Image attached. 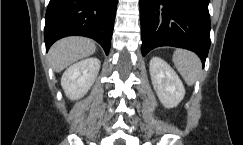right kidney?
Here are the masks:
<instances>
[{
    "instance_id": "1",
    "label": "right kidney",
    "mask_w": 243,
    "mask_h": 145,
    "mask_svg": "<svg viewBox=\"0 0 243 145\" xmlns=\"http://www.w3.org/2000/svg\"><path fill=\"white\" fill-rule=\"evenodd\" d=\"M100 65L99 59L91 57L67 68L61 78V86L66 96L71 100L83 97L94 83Z\"/></svg>"
}]
</instances>
